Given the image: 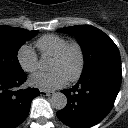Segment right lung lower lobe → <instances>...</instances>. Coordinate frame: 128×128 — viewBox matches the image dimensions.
Here are the masks:
<instances>
[{
	"label": "right lung lower lobe",
	"mask_w": 128,
	"mask_h": 128,
	"mask_svg": "<svg viewBox=\"0 0 128 128\" xmlns=\"http://www.w3.org/2000/svg\"><path fill=\"white\" fill-rule=\"evenodd\" d=\"M27 79L25 72L15 76L0 75V128H15L27 117L31 101L40 94L36 88L14 89Z\"/></svg>",
	"instance_id": "98d812e1"
}]
</instances>
